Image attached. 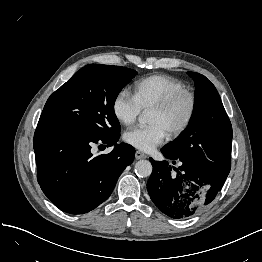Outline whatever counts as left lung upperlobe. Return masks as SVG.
Wrapping results in <instances>:
<instances>
[{"label":"left lung upper lobe","instance_id":"1","mask_svg":"<svg viewBox=\"0 0 262 262\" xmlns=\"http://www.w3.org/2000/svg\"><path fill=\"white\" fill-rule=\"evenodd\" d=\"M187 73L196 86L194 110L186 130L162 150L206 170H219L231 157V122L215 86L199 73Z\"/></svg>","mask_w":262,"mask_h":262}]
</instances>
